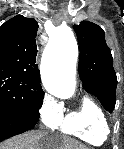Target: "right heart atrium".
I'll list each match as a JSON object with an SVG mask.
<instances>
[{"instance_id": "d8ad5b80", "label": "right heart atrium", "mask_w": 124, "mask_h": 149, "mask_svg": "<svg viewBox=\"0 0 124 149\" xmlns=\"http://www.w3.org/2000/svg\"><path fill=\"white\" fill-rule=\"evenodd\" d=\"M39 118L44 126L55 129L61 120V108L49 96H45L39 108Z\"/></svg>"}]
</instances>
